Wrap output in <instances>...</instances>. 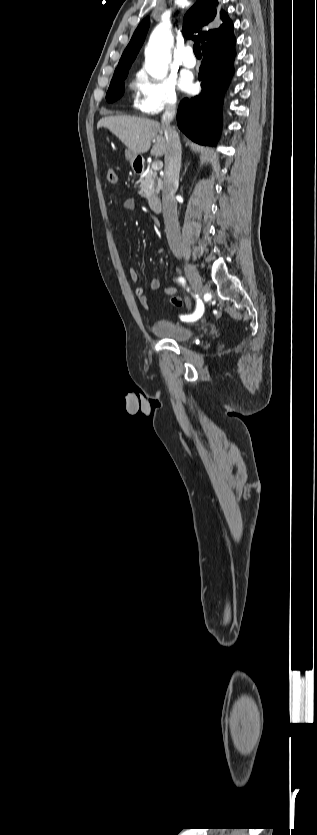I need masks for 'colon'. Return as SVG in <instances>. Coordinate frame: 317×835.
<instances>
[{
    "mask_svg": "<svg viewBox=\"0 0 317 835\" xmlns=\"http://www.w3.org/2000/svg\"><path fill=\"white\" fill-rule=\"evenodd\" d=\"M106 176H107L108 182L111 183V184H115L118 180L117 173H116L115 169H113V168H109L107 170ZM170 301H171V304L175 307H181L182 304H183L181 298H179V297H172Z\"/></svg>",
    "mask_w": 317,
    "mask_h": 835,
    "instance_id": "1",
    "label": "colon"
}]
</instances>
